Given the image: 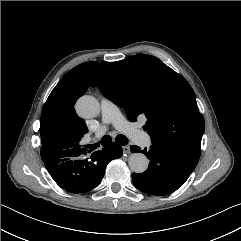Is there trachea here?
I'll list each match as a JSON object with an SVG mask.
<instances>
[{
	"mask_svg": "<svg viewBox=\"0 0 241 241\" xmlns=\"http://www.w3.org/2000/svg\"><path fill=\"white\" fill-rule=\"evenodd\" d=\"M111 142H112V138L109 135H105L102 137V139L100 140L99 143L92 144V145H90V147H92V149H95V148L99 147L100 144L102 146H108ZM116 142L120 145H126L128 143V139L124 135H118L116 137Z\"/></svg>",
	"mask_w": 241,
	"mask_h": 241,
	"instance_id": "3493384b",
	"label": "trachea"
}]
</instances>
